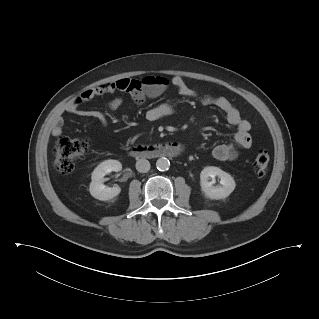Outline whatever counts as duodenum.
Wrapping results in <instances>:
<instances>
[{"label":"duodenum","instance_id":"410a0bca","mask_svg":"<svg viewBox=\"0 0 319 319\" xmlns=\"http://www.w3.org/2000/svg\"><path fill=\"white\" fill-rule=\"evenodd\" d=\"M129 153L138 158L175 157L179 153L177 144L166 142L150 146H135Z\"/></svg>","mask_w":319,"mask_h":319}]
</instances>
